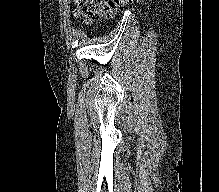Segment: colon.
<instances>
[{
    "instance_id": "colon-1",
    "label": "colon",
    "mask_w": 219,
    "mask_h": 192,
    "mask_svg": "<svg viewBox=\"0 0 219 192\" xmlns=\"http://www.w3.org/2000/svg\"><path fill=\"white\" fill-rule=\"evenodd\" d=\"M132 0H77L74 17L81 23L88 24L93 20L107 18L121 6Z\"/></svg>"
}]
</instances>
